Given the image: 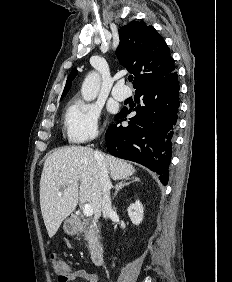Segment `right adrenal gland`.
Wrapping results in <instances>:
<instances>
[{
	"instance_id": "1",
	"label": "right adrenal gland",
	"mask_w": 232,
	"mask_h": 282,
	"mask_svg": "<svg viewBox=\"0 0 232 282\" xmlns=\"http://www.w3.org/2000/svg\"><path fill=\"white\" fill-rule=\"evenodd\" d=\"M128 180H130V178H127L126 180L121 181V182H119V183H117V184L115 185V187H114V188H115V193H114V195H113V199L116 197V195L118 194V192H119L122 188H124V187L130 185V184L133 183V182L139 181V179L134 178V177L132 178L131 181H128Z\"/></svg>"
}]
</instances>
